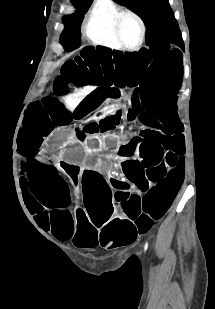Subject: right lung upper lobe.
<instances>
[{"mask_svg": "<svg viewBox=\"0 0 215 309\" xmlns=\"http://www.w3.org/2000/svg\"><path fill=\"white\" fill-rule=\"evenodd\" d=\"M74 2H79V3H90L91 0H74Z\"/></svg>", "mask_w": 215, "mask_h": 309, "instance_id": "1", "label": "right lung upper lobe"}]
</instances>
